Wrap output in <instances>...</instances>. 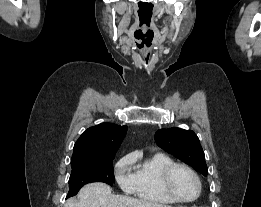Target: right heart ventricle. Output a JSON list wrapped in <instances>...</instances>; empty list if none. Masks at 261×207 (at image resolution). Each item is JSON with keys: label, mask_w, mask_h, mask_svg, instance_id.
<instances>
[{"label": "right heart ventricle", "mask_w": 261, "mask_h": 207, "mask_svg": "<svg viewBox=\"0 0 261 207\" xmlns=\"http://www.w3.org/2000/svg\"><path fill=\"white\" fill-rule=\"evenodd\" d=\"M137 162V185L135 193L138 198L161 204H173L162 186L163 171L175 163L172 158L163 153H154L143 159L133 156V163Z\"/></svg>", "instance_id": "e07e8e85"}]
</instances>
